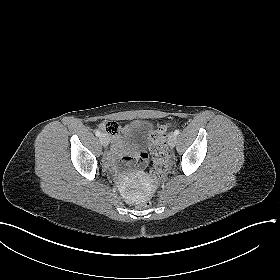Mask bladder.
<instances>
[{"label":"bladder","instance_id":"31cf9c89","mask_svg":"<svg viewBox=\"0 0 280 280\" xmlns=\"http://www.w3.org/2000/svg\"><path fill=\"white\" fill-rule=\"evenodd\" d=\"M151 128L152 124L148 121L130 123L121 132L118 142L125 147L145 148L150 143L149 133Z\"/></svg>","mask_w":280,"mask_h":280}]
</instances>
